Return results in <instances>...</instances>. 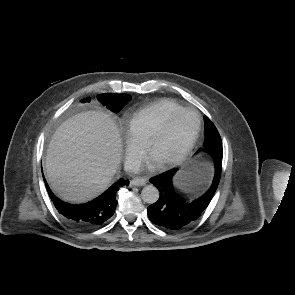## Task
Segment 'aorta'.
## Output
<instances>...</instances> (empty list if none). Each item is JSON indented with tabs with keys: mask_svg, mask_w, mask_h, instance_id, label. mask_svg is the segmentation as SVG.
<instances>
[{
	"mask_svg": "<svg viewBox=\"0 0 295 295\" xmlns=\"http://www.w3.org/2000/svg\"><path fill=\"white\" fill-rule=\"evenodd\" d=\"M141 197L144 202L153 204L159 199V190L153 185H147L142 189Z\"/></svg>",
	"mask_w": 295,
	"mask_h": 295,
	"instance_id": "762f6f07",
	"label": "aorta"
}]
</instances>
